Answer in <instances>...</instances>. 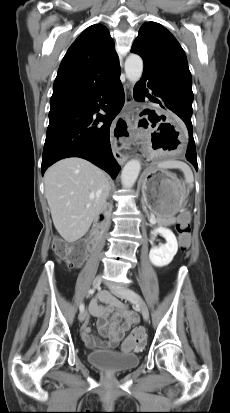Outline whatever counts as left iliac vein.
I'll return each instance as SVG.
<instances>
[{
  "mask_svg": "<svg viewBox=\"0 0 230 413\" xmlns=\"http://www.w3.org/2000/svg\"><path fill=\"white\" fill-rule=\"evenodd\" d=\"M110 291L117 297L126 299L130 302L135 303L138 305L140 308V312L144 318L145 321L149 320V310L148 307L143 300V298L137 294L135 291L129 289V288H124V287H112L110 288Z\"/></svg>",
  "mask_w": 230,
  "mask_h": 413,
  "instance_id": "left-iliac-vein-1",
  "label": "left iliac vein"
}]
</instances>
